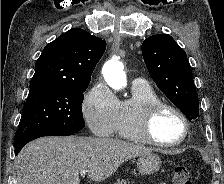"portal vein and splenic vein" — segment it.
<instances>
[{"mask_svg":"<svg viewBox=\"0 0 224 184\" xmlns=\"http://www.w3.org/2000/svg\"><path fill=\"white\" fill-rule=\"evenodd\" d=\"M87 172H88L87 169H81V170H80V175H81V176H84Z\"/></svg>","mask_w":224,"mask_h":184,"instance_id":"1","label":"portal vein and splenic vein"}]
</instances>
